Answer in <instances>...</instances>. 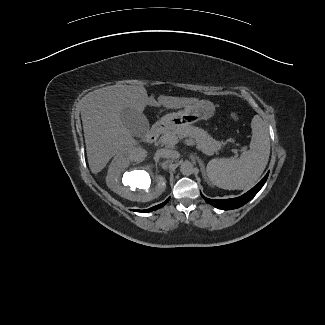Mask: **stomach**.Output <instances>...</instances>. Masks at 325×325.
Instances as JSON below:
<instances>
[{
  "label": "stomach",
  "mask_w": 325,
  "mask_h": 325,
  "mask_svg": "<svg viewBox=\"0 0 325 325\" xmlns=\"http://www.w3.org/2000/svg\"><path fill=\"white\" fill-rule=\"evenodd\" d=\"M215 113V105L207 100H201L196 104L186 106L183 110L170 113L162 117L161 121L169 126L192 124L199 120L211 118Z\"/></svg>",
  "instance_id": "stomach-1"
}]
</instances>
